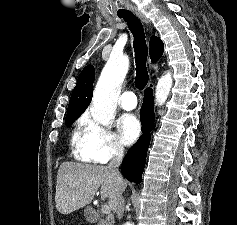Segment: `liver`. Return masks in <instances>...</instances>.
Listing matches in <instances>:
<instances>
[{
  "label": "liver",
  "mask_w": 237,
  "mask_h": 225,
  "mask_svg": "<svg viewBox=\"0 0 237 225\" xmlns=\"http://www.w3.org/2000/svg\"><path fill=\"white\" fill-rule=\"evenodd\" d=\"M127 183L119 184L107 166L63 162L58 170L55 203L61 214H70L90 204L101 187V198L116 211L119 195Z\"/></svg>",
  "instance_id": "obj_1"
}]
</instances>
